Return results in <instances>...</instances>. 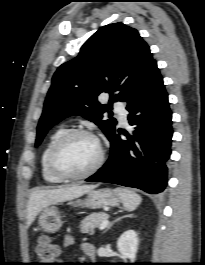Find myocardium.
I'll return each instance as SVG.
<instances>
[{"mask_svg": "<svg viewBox=\"0 0 205 265\" xmlns=\"http://www.w3.org/2000/svg\"><path fill=\"white\" fill-rule=\"evenodd\" d=\"M87 136L92 138L96 141V143L99 146V156L97 161L94 163V165L89 168L87 171L82 172L80 174H68L63 171H61L56 163L55 158L59 150L63 147V145L68 142L70 139L76 136ZM105 160V151L104 147L98 138L96 134H94L92 131L82 128H75L67 130L65 133H63L51 146L48 156H47V166L50 170V172L57 177L58 179L62 181H78L86 179L92 175H94L96 172L99 171V169L102 167Z\"/></svg>", "mask_w": 205, "mask_h": 265, "instance_id": "f54148a6", "label": "myocardium"}]
</instances>
